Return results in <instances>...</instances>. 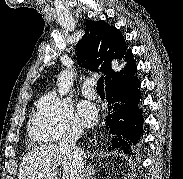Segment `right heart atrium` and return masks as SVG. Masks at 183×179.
Returning a JSON list of instances; mask_svg holds the SVG:
<instances>
[{
  "instance_id": "right-heart-atrium-1",
  "label": "right heart atrium",
  "mask_w": 183,
  "mask_h": 179,
  "mask_svg": "<svg viewBox=\"0 0 183 179\" xmlns=\"http://www.w3.org/2000/svg\"><path fill=\"white\" fill-rule=\"evenodd\" d=\"M81 122L70 102L55 93L41 98L37 113L32 120V134L42 140L56 141L81 132Z\"/></svg>"
}]
</instances>
